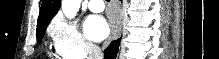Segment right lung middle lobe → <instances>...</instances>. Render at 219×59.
Instances as JSON below:
<instances>
[{"label":"right lung middle lobe","mask_w":219,"mask_h":59,"mask_svg":"<svg viewBox=\"0 0 219 59\" xmlns=\"http://www.w3.org/2000/svg\"><path fill=\"white\" fill-rule=\"evenodd\" d=\"M47 26L40 27L36 30L37 41L41 42Z\"/></svg>","instance_id":"obj_1"}]
</instances>
